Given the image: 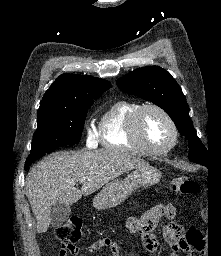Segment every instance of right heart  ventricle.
<instances>
[{"mask_svg":"<svg viewBox=\"0 0 221 256\" xmlns=\"http://www.w3.org/2000/svg\"><path fill=\"white\" fill-rule=\"evenodd\" d=\"M140 106V103L126 99L108 106L99 121V140L104 148L135 155L146 154L129 136L130 120Z\"/></svg>","mask_w":221,"mask_h":256,"instance_id":"right-heart-ventricle-1","label":"right heart ventricle"}]
</instances>
